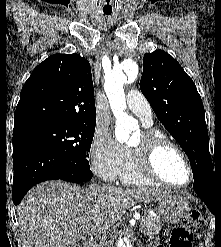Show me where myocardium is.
Returning <instances> with one entry per match:
<instances>
[{
  "label": "myocardium",
  "mask_w": 221,
  "mask_h": 247,
  "mask_svg": "<svg viewBox=\"0 0 221 247\" xmlns=\"http://www.w3.org/2000/svg\"><path fill=\"white\" fill-rule=\"evenodd\" d=\"M135 162L139 169L153 181L173 188H185L190 186L194 180V172L191 162L184 150L174 141L153 130L141 132V137L136 145H128ZM164 149H172L176 151L183 159L189 180L185 184H176L165 180L159 173L156 165L158 154Z\"/></svg>",
  "instance_id": "1"
}]
</instances>
